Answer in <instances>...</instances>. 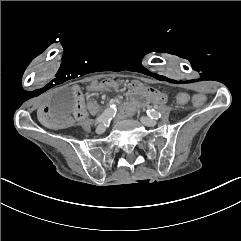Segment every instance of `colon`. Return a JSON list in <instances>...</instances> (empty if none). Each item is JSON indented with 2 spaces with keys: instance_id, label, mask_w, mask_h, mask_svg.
<instances>
[{
  "instance_id": "colon-1",
  "label": "colon",
  "mask_w": 241,
  "mask_h": 241,
  "mask_svg": "<svg viewBox=\"0 0 241 241\" xmlns=\"http://www.w3.org/2000/svg\"><path fill=\"white\" fill-rule=\"evenodd\" d=\"M81 90L79 88H76L73 92V97L76 100V108L75 111H73L72 116L75 118L77 121H82L83 116H85L86 111H85V100L83 95L80 94ZM176 101L180 106H187L190 101V96L186 92H178L176 94ZM205 102V97L202 94H197L193 97V104L197 107H202Z\"/></svg>"
}]
</instances>
